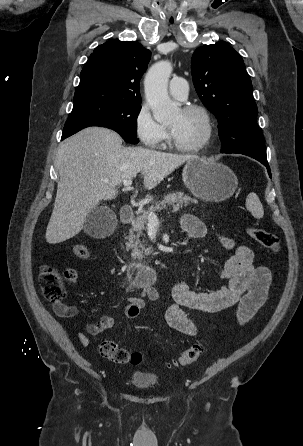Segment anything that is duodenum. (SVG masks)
Masks as SVG:
<instances>
[{"mask_svg": "<svg viewBox=\"0 0 303 446\" xmlns=\"http://www.w3.org/2000/svg\"><path fill=\"white\" fill-rule=\"evenodd\" d=\"M134 217V212L130 207L122 208L120 220L123 224H129ZM156 271L149 265L133 263L130 269L131 281L138 285L151 284L155 279Z\"/></svg>", "mask_w": 303, "mask_h": 446, "instance_id": "1", "label": "duodenum"}]
</instances>
